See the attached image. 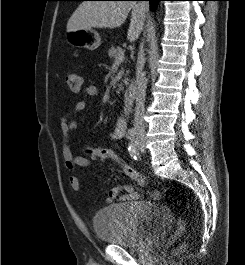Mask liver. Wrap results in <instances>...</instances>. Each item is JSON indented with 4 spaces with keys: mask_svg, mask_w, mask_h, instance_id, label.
<instances>
[{
    "mask_svg": "<svg viewBox=\"0 0 245 265\" xmlns=\"http://www.w3.org/2000/svg\"><path fill=\"white\" fill-rule=\"evenodd\" d=\"M131 10L127 38L130 42H134L143 30L145 12L142 11L139 3L131 1H85L79 5L68 20L67 32L120 27Z\"/></svg>",
    "mask_w": 245,
    "mask_h": 265,
    "instance_id": "liver-1",
    "label": "liver"
}]
</instances>
